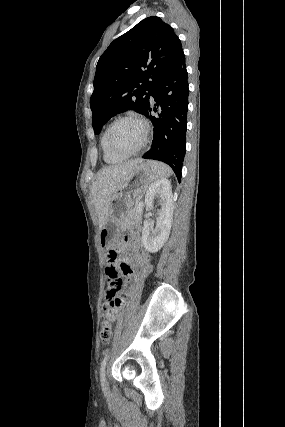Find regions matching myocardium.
Wrapping results in <instances>:
<instances>
[{
  "label": "myocardium",
  "instance_id": "obj_1",
  "mask_svg": "<svg viewBox=\"0 0 285 427\" xmlns=\"http://www.w3.org/2000/svg\"><path fill=\"white\" fill-rule=\"evenodd\" d=\"M125 120H133V121L140 123L142 128H143V132H144V136H143L141 143L138 145V147H136L132 151H123V150L117 148L112 143V140H111V134H112L114 127L119 122L125 121ZM149 134H150V125H149L148 121L138 114L130 113V114H125V115L119 116L111 122V124L109 125V127L107 129L106 141H107V145H108L109 149L113 153L121 155V156L129 157V156L137 154L147 145L148 140H149Z\"/></svg>",
  "mask_w": 285,
  "mask_h": 427
}]
</instances>
